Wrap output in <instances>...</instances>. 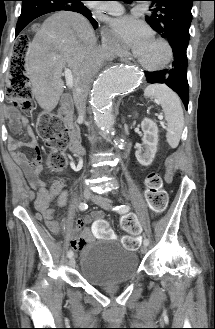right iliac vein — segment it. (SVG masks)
<instances>
[{
    "label": "right iliac vein",
    "instance_id": "63e3f726",
    "mask_svg": "<svg viewBox=\"0 0 215 329\" xmlns=\"http://www.w3.org/2000/svg\"><path fill=\"white\" fill-rule=\"evenodd\" d=\"M82 194H83L84 199H86V200L91 198V192L89 190H84ZM75 264H76L75 258L70 257L69 266L73 268V267H75Z\"/></svg>",
    "mask_w": 215,
    "mask_h": 329
}]
</instances>
